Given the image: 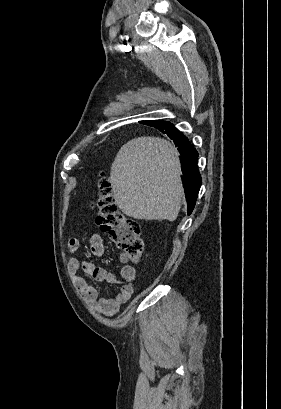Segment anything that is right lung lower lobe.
<instances>
[{
    "instance_id": "right-lung-lower-lobe-1",
    "label": "right lung lower lobe",
    "mask_w": 281,
    "mask_h": 409,
    "mask_svg": "<svg viewBox=\"0 0 281 409\" xmlns=\"http://www.w3.org/2000/svg\"><path fill=\"white\" fill-rule=\"evenodd\" d=\"M146 121L143 123L145 124ZM170 137L180 152L182 173L185 182V195L187 200L188 214H191L198 197V192L201 186V176L197 168L198 153L191 146L189 140L179 132L173 125L167 126L164 130H160Z\"/></svg>"
}]
</instances>
